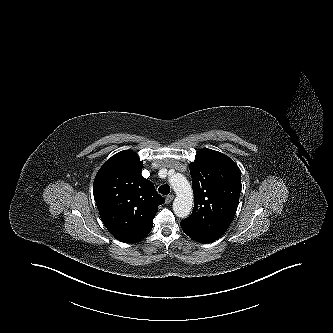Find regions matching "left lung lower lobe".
I'll return each mask as SVG.
<instances>
[{
	"label": "left lung lower lobe",
	"mask_w": 333,
	"mask_h": 333,
	"mask_svg": "<svg viewBox=\"0 0 333 333\" xmlns=\"http://www.w3.org/2000/svg\"><path fill=\"white\" fill-rule=\"evenodd\" d=\"M181 228L190 238L194 239L197 242L210 243L217 240L194 229H191L183 224H181Z\"/></svg>",
	"instance_id": "0a47b994"
}]
</instances>
